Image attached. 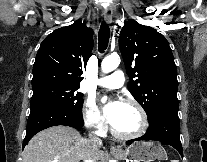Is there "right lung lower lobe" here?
Here are the masks:
<instances>
[{
  "label": "right lung lower lobe",
  "mask_w": 207,
  "mask_h": 162,
  "mask_svg": "<svg viewBox=\"0 0 207 162\" xmlns=\"http://www.w3.org/2000/svg\"><path fill=\"white\" fill-rule=\"evenodd\" d=\"M82 114L70 111L55 104H37L31 107L27 122V132L23 142V147L39 131L46 128L65 125L75 129L83 126Z\"/></svg>",
  "instance_id": "1"
}]
</instances>
